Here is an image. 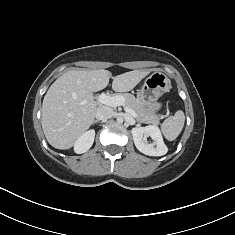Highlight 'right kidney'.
Segmentation results:
<instances>
[{
	"mask_svg": "<svg viewBox=\"0 0 235 235\" xmlns=\"http://www.w3.org/2000/svg\"><path fill=\"white\" fill-rule=\"evenodd\" d=\"M94 138L95 131L93 129L86 131L76 140L74 144V151L78 154L88 151L94 142Z\"/></svg>",
	"mask_w": 235,
	"mask_h": 235,
	"instance_id": "right-kidney-1",
	"label": "right kidney"
}]
</instances>
